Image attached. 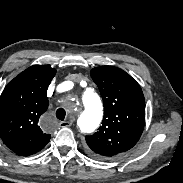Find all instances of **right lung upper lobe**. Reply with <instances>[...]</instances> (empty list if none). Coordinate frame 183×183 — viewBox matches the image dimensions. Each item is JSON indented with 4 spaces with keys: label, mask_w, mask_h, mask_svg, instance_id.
I'll use <instances>...</instances> for the list:
<instances>
[{
    "label": "right lung upper lobe",
    "mask_w": 183,
    "mask_h": 183,
    "mask_svg": "<svg viewBox=\"0 0 183 183\" xmlns=\"http://www.w3.org/2000/svg\"><path fill=\"white\" fill-rule=\"evenodd\" d=\"M55 73L48 65H33L10 81L0 96V137L20 156L40 151L51 138L38 122L48 108L47 89Z\"/></svg>",
    "instance_id": "cb5924a9"
}]
</instances>
